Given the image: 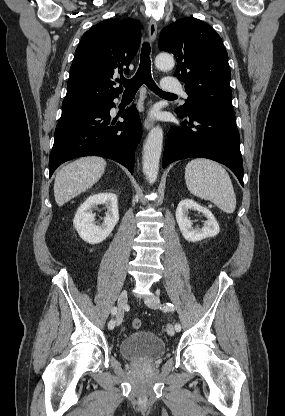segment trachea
<instances>
[{"label": "trachea", "instance_id": "obj_1", "mask_svg": "<svg viewBox=\"0 0 285 416\" xmlns=\"http://www.w3.org/2000/svg\"><path fill=\"white\" fill-rule=\"evenodd\" d=\"M150 44L149 42H144L141 50V60L139 68L135 76L131 79L121 77L119 83L125 87V92H137L141 85H146L151 91L155 92L157 95L164 96H176L174 93H168L162 91L157 87L156 83L151 76V60H150Z\"/></svg>", "mask_w": 285, "mask_h": 416}]
</instances>
